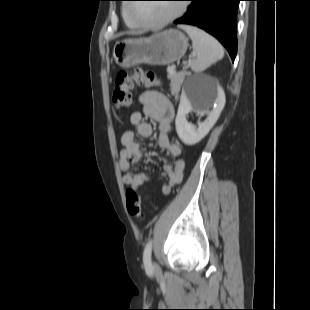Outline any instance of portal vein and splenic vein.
Here are the masks:
<instances>
[{
	"label": "portal vein and splenic vein",
	"mask_w": 310,
	"mask_h": 310,
	"mask_svg": "<svg viewBox=\"0 0 310 310\" xmlns=\"http://www.w3.org/2000/svg\"><path fill=\"white\" fill-rule=\"evenodd\" d=\"M168 72H170V73L174 72V68H173V67H170V68L168 69Z\"/></svg>",
	"instance_id": "portal-vein-and-splenic-vein-1"
}]
</instances>
